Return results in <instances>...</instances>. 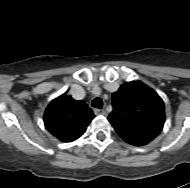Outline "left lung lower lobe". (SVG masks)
Here are the masks:
<instances>
[{"label": "left lung lower lobe", "mask_w": 190, "mask_h": 188, "mask_svg": "<svg viewBox=\"0 0 190 188\" xmlns=\"http://www.w3.org/2000/svg\"><path fill=\"white\" fill-rule=\"evenodd\" d=\"M114 129L123 140L135 146L146 145L155 138V136L153 135L136 133L123 128H114Z\"/></svg>", "instance_id": "left-lung-lower-lobe-1"}]
</instances>
